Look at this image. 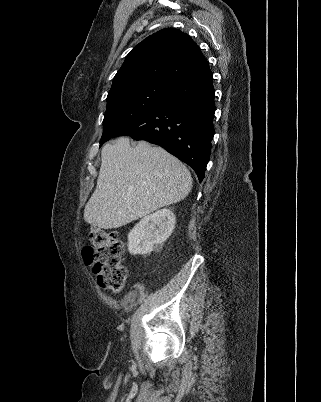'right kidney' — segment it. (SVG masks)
Masks as SVG:
<instances>
[{
  "instance_id": "right-kidney-1",
  "label": "right kidney",
  "mask_w": 321,
  "mask_h": 402,
  "mask_svg": "<svg viewBox=\"0 0 321 402\" xmlns=\"http://www.w3.org/2000/svg\"><path fill=\"white\" fill-rule=\"evenodd\" d=\"M175 223V215L167 208L145 216L128 234V251L133 255L151 253L169 238Z\"/></svg>"
}]
</instances>
